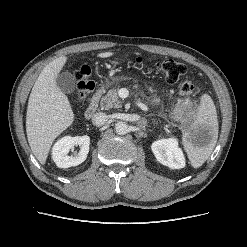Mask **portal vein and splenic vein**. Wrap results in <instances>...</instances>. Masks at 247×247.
Listing matches in <instances>:
<instances>
[{"mask_svg":"<svg viewBox=\"0 0 247 247\" xmlns=\"http://www.w3.org/2000/svg\"><path fill=\"white\" fill-rule=\"evenodd\" d=\"M124 91H125L126 93H128V91H127L126 89H124Z\"/></svg>","mask_w":247,"mask_h":247,"instance_id":"1","label":"portal vein and splenic vein"}]
</instances>
